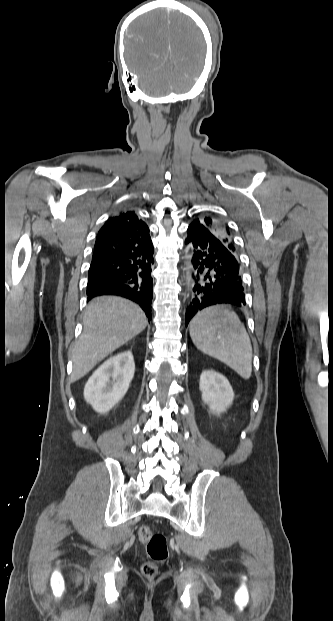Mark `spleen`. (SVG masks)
Returning <instances> with one entry per match:
<instances>
[{"label": "spleen", "mask_w": 333, "mask_h": 621, "mask_svg": "<svg viewBox=\"0 0 333 621\" xmlns=\"http://www.w3.org/2000/svg\"><path fill=\"white\" fill-rule=\"evenodd\" d=\"M215 307L198 312L190 322V336L198 350L226 364L242 378L252 373V345L239 317L217 319ZM217 335V337H216Z\"/></svg>", "instance_id": "3e777b00"}]
</instances>
